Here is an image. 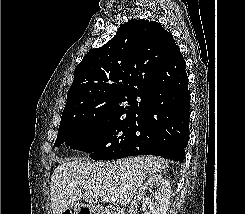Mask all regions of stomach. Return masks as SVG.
<instances>
[{"label": "stomach", "mask_w": 245, "mask_h": 214, "mask_svg": "<svg viewBox=\"0 0 245 214\" xmlns=\"http://www.w3.org/2000/svg\"><path fill=\"white\" fill-rule=\"evenodd\" d=\"M82 206L78 203H72L63 213H72L78 214L81 211Z\"/></svg>", "instance_id": "obj_1"}]
</instances>
